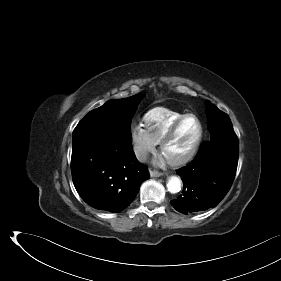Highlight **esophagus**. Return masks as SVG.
Listing matches in <instances>:
<instances>
[{"mask_svg":"<svg viewBox=\"0 0 281 281\" xmlns=\"http://www.w3.org/2000/svg\"><path fill=\"white\" fill-rule=\"evenodd\" d=\"M149 174H150V177H153V178L154 177H160V176L163 175L162 172H159V171L154 170V169H150Z\"/></svg>","mask_w":281,"mask_h":281,"instance_id":"1","label":"esophagus"}]
</instances>
